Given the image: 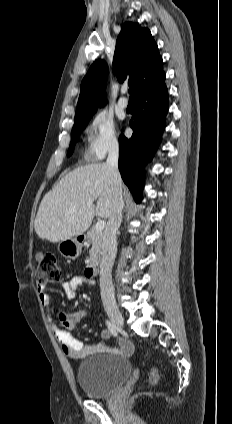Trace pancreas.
Masks as SVG:
<instances>
[{
  "label": "pancreas",
  "instance_id": "pancreas-1",
  "mask_svg": "<svg viewBox=\"0 0 232 424\" xmlns=\"http://www.w3.org/2000/svg\"><path fill=\"white\" fill-rule=\"evenodd\" d=\"M88 237L90 242L92 243V248L89 250V262H93L97 260L98 254L102 247V232L96 230L95 227H93L88 232Z\"/></svg>",
  "mask_w": 232,
  "mask_h": 424
}]
</instances>
